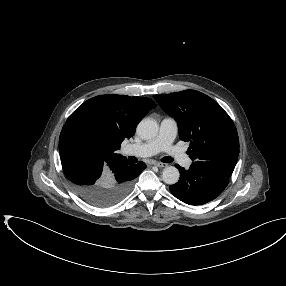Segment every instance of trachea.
<instances>
[{"instance_id":"trachea-1","label":"trachea","mask_w":286,"mask_h":286,"mask_svg":"<svg viewBox=\"0 0 286 286\" xmlns=\"http://www.w3.org/2000/svg\"><path fill=\"white\" fill-rule=\"evenodd\" d=\"M173 161V158L170 156L162 158V162L164 163H171Z\"/></svg>"}]
</instances>
